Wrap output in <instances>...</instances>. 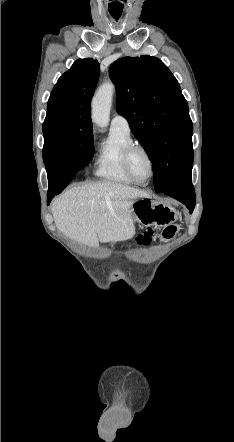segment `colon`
<instances>
[{"label":"colon","mask_w":234,"mask_h":442,"mask_svg":"<svg viewBox=\"0 0 234 442\" xmlns=\"http://www.w3.org/2000/svg\"><path fill=\"white\" fill-rule=\"evenodd\" d=\"M177 231V227L175 225H169L167 227H165L162 231V238L165 240L171 239L175 233ZM152 235H153V230L152 229H147L144 232L140 233L136 240L137 243L140 245H147L150 243L151 239H152Z\"/></svg>","instance_id":"5ec220e1"}]
</instances>
